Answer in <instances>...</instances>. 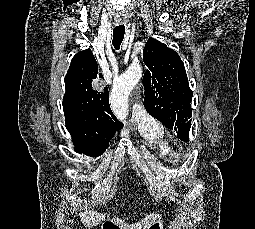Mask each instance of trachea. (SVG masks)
Segmentation results:
<instances>
[{"label":"trachea","mask_w":255,"mask_h":229,"mask_svg":"<svg viewBox=\"0 0 255 229\" xmlns=\"http://www.w3.org/2000/svg\"><path fill=\"white\" fill-rule=\"evenodd\" d=\"M125 34V26L118 25L113 29V46L119 50Z\"/></svg>","instance_id":"3493384b"}]
</instances>
